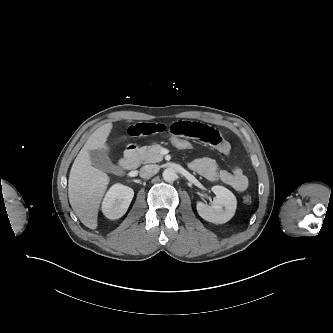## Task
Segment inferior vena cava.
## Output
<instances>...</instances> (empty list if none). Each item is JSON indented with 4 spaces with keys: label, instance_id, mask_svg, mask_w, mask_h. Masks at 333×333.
I'll return each mask as SVG.
<instances>
[{
    "label": "inferior vena cava",
    "instance_id": "602c4592",
    "mask_svg": "<svg viewBox=\"0 0 333 333\" xmlns=\"http://www.w3.org/2000/svg\"><path fill=\"white\" fill-rule=\"evenodd\" d=\"M159 171L157 165H145L140 169V176L143 178H150Z\"/></svg>",
    "mask_w": 333,
    "mask_h": 333
}]
</instances>
